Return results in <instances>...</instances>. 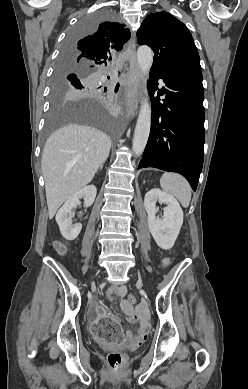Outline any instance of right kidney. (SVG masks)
Listing matches in <instances>:
<instances>
[{
    "instance_id": "right-kidney-1",
    "label": "right kidney",
    "mask_w": 248,
    "mask_h": 389,
    "mask_svg": "<svg viewBox=\"0 0 248 389\" xmlns=\"http://www.w3.org/2000/svg\"><path fill=\"white\" fill-rule=\"evenodd\" d=\"M96 187L89 185L73 194L64 205L59 209L56 214V222L59 226L62 236L69 241L77 238L79 235L82 224H76L72 226L71 217L74 215L71 211L79 204V199L84 197V206L89 207L94 203L96 197Z\"/></svg>"
}]
</instances>
